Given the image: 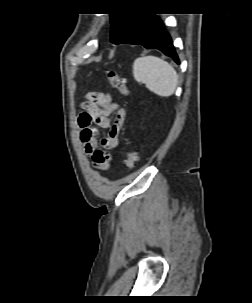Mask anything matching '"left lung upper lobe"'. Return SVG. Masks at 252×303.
<instances>
[{
  "mask_svg": "<svg viewBox=\"0 0 252 303\" xmlns=\"http://www.w3.org/2000/svg\"><path fill=\"white\" fill-rule=\"evenodd\" d=\"M111 15V42L117 44L146 16V13H116Z\"/></svg>",
  "mask_w": 252,
  "mask_h": 303,
  "instance_id": "left-lung-upper-lobe-1",
  "label": "left lung upper lobe"
}]
</instances>
